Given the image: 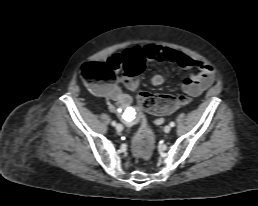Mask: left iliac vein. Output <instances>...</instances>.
<instances>
[{
    "label": "left iliac vein",
    "mask_w": 258,
    "mask_h": 206,
    "mask_svg": "<svg viewBox=\"0 0 258 206\" xmlns=\"http://www.w3.org/2000/svg\"><path fill=\"white\" fill-rule=\"evenodd\" d=\"M171 131V127L169 125L164 127V132L169 133Z\"/></svg>",
    "instance_id": "obj_1"
}]
</instances>
